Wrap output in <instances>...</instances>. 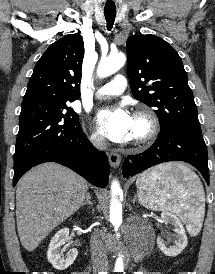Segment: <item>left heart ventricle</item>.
Masks as SVG:
<instances>
[{
  "label": "left heart ventricle",
  "mask_w": 215,
  "mask_h": 274,
  "mask_svg": "<svg viewBox=\"0 0 215 274\" xmlns=\"http://www.w3.org/2000/svg\"><path fill=\"white\" fill-rule=\"evenodd\" d=\"M145 131H146L145 123L140 119L133 118L131 139L141 136L142 134H144Z\"/></svg>",
  "instance_id": "left-heart-ventricle-1"
}]
</instances>
